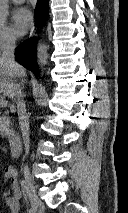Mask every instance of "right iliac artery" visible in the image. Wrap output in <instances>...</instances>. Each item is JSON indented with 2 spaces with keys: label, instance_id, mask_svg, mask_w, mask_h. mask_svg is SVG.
<instances>
[{
  "label": "right iliac artery",
  "instance_id": "obj_1",
  "mask_svg": "<svg viewBox=\"0 0 128 213\" xmlns=\"http://www.w3.org/2000/svg\"><path fill=\"white\" fill-rule=\"evenodd\" d=\"M20 184H21V187H22L23 191H25L28 194L25 181L24 180H20Z\"/></svg>",
  "mask_w": 128,
  "mask_h": 213
}]
</instances>
